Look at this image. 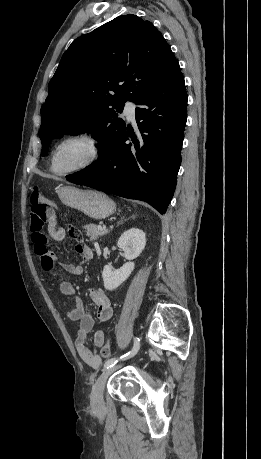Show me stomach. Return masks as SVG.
Here are the masks:
<instances>
[{"label": "stomach", "instance_id": "1", "mask_svg": "<svg viewBox=\"0 0 261 459\" xmlns=\"http://www.w3.org/2000/svg\"><path fill=\"white\" fill-rule=\"evenodd\" d=\"M56 192L64 205L94 219L107 218L116 210L114 201L103 192L82 190L73 186L59 187Z\"/></svg>", "mask_w": 261, "mask_h": 459}]
</instances>
